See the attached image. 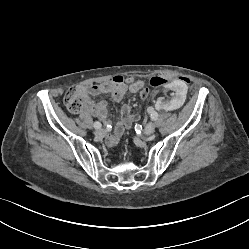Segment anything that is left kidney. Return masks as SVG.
<instances>
[{
    "label": "left kidney",
    "instance_id": "5707ae66",
    "mask_svg": "<svg viewBox=\"0 0 249 249\" xmlns=\"http://www.w3.org/2000/svg\"><path fill=\"white\" fill-rule=\"evenodd\" d=\"M164 91L168 95L160 94L156 98V106L163 112H169L174 107H181L186 102L188 94L187 84L180 78H173L164 85Z\"/></svg>",
    "mask_w": 249,
    "mask_h": 249
}]
</instances>
